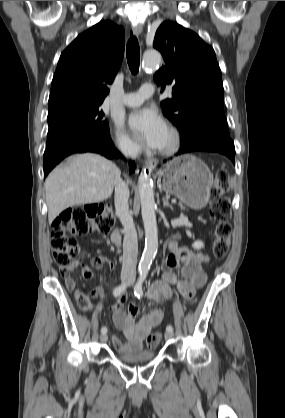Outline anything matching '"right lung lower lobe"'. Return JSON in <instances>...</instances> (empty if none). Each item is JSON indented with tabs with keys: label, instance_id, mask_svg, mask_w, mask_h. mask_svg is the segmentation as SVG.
Wrapping results in <instances>:
<instances>
[{
	"label": "right lung lower lobe",
	"instance_id": "right-lung-lower-lobe-1",
	"mask_svg": "<svg viewBox=\"0 0 285 418\" xmlns=\"http://www.w3.org/2000/svg\"><path fill=\"white\" fill-rule=\"evenodd\" d=\"M94 152L109 159L117 158L120 153L114 147L110 135L78 134L69 136L47 147L43 156L44 178L66 156L72 153ZM135 169L134 163L130 171Z\"/></svg>",
	"mask_w": 285,
	"mask_h": 418
}]
</instances>
